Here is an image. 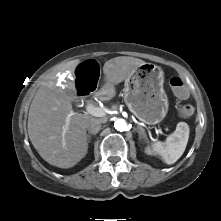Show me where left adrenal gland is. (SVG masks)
Returning a JSON list of instances; mask_svg holds the SVG:
<instances>
[{
    "mask_svg": "<svg viewBox=\"0 0 221 221\" xmlns=\"http://www.w3.org/2000/svg\"><path fill=\"white\" fill-rule=\"evenodd\" d=\"M137 130H138L139 138H140V139L143 138V139H145V140L147 141L148 138H147V135H146V133H145L144 128L141 127V126H137Z\"/></svg>",
    "mask_w": 221,
    "mask_h": 221,
    "instance_id": "obj_1",
    "label": "left adrenal gland"
}]
</instances>
